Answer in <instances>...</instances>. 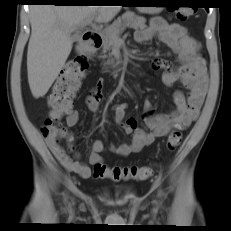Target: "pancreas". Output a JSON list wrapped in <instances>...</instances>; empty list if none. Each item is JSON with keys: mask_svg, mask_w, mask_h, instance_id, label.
<instances>
[{"mask_svg": "<svg viewBox=\"0 0 231 231\" xmlns=\"http://www.w3.org/2000/svg\"><path fill=\"white\" fill-rule=\"evenodd\" d=\"M146 19L144 17L138 16L131 11L125 12L121 17H118L110 26L103 30V52L106 53L110 51L116 37L119 36L120 32L126 26L133 29H144L146 28ZM105 57V56H104ZM113 59L108 60L107 65L113 64Z\"/></svg>", "mask_w": 231, "mask_h": 231, "instance_id": "obj_1", "label": "pancreas"}]
</instances>
